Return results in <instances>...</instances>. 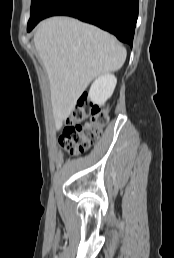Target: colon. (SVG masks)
Segmentation results:
<instances>
[{"label": "colon", "mask_w": 174, "mask_h": 258, "mask_svg": "<svg viewBox=\"0 0 174 258\" xmlns=\"http://www.w3.org/2000/svg\"><path fill=\"white\" fill-rule=\"evenodd\" d=\"M109 120L107 106H98L82 95L61 130L60 146L70 155L87 151L99 138Z\"/></svg>", "instance_id": "1"}]
</instances>
